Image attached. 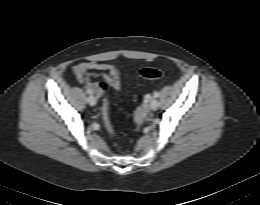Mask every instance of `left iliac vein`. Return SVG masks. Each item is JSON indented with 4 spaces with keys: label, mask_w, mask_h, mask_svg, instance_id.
Returning a JSON list of instances; mask_svg holds the SVG:
<instances>
[{
    "label": "left iliac vein",
    "mask_w": 260,
    "mask_h": 205,
    "mask_svg": "<svg viewBox=\"0 0 260 205\" xmlns=\"http://www.w3.org/2000/svg\"><path fill=\"white\" fill-rule=\"evenodd\" d=\"M149 107L151 110L155 111L158 109L159 107V102L156 98H153L151 101H150V104H149Z\"/></svg>",
    "instance_id": "left-iliac-vein-1"
}]
</instances>
